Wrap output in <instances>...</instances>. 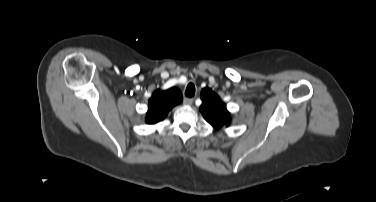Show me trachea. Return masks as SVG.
<instances>
[{
    "instance_id": "3493384b",
    "label": "trachea",
    "mask_w": 376,
    "mask_h": 202,
    "mask_svg": "<svg viewBox=\"0 0 376 202\" xmlns=\"http://www.w3.org/2000/svg\"><path fill=\"white\" fill-rule=\"evenodd\" d=\"M195 95V86L193 83H189L185 90L186 97H193Z\"/></svg>"
}]
</instances>
